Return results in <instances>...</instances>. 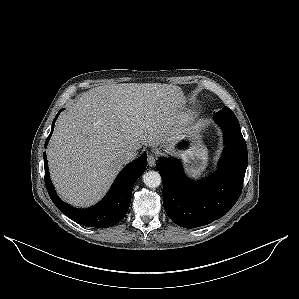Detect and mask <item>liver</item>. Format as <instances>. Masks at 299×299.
I'll return each instance as SVG.
<instances>
[{
  "instance_id": "6515ba94",
  "label": "liver",
  "mask_w": 299,
  "mask_h": 299,
  "mask_svg": "<svg viewBox=\"0 0 299 299\" xmlns=\"http://www.w3.org/2000/svg\"><path fill=\"white\" fill-rule=\"evenodd\" d=\"M184 101L177 86L161 83L106 85L83 93L57 121L47 149L60 197L78 207L99 201L129 148L161 145L171 153L184 136L179 120Z\"/></svg>"
}]
</instances>
